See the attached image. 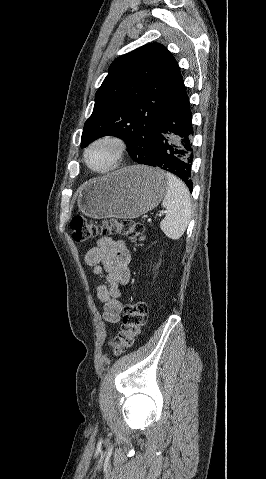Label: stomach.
Returning <instances> with one entry per match:
<instances>
[{
  "mask_svg": "<svg viewBox=\"0 0 266 479\" xmlns=\"http://www.w3.org/2000/svg\"><path fill=\"white\" fill-rule=\"evenodd\" d=\"M168 187L164 171L134 165L83 185L78 194L79 210L88 217L137 218L153 210Z\"/></svg>",
  "mask_w": 266,
  "mask_h": 479,
  "instance_id": "0dacf381",
  "label": "stomach"
}]
</instances>
